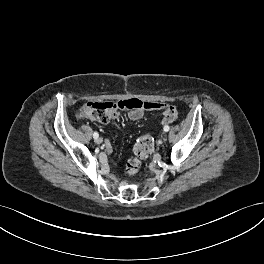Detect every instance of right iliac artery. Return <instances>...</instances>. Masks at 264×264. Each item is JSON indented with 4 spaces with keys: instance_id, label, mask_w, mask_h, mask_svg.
Listing matches in <instances>:
<instances>
[{
    "instance_id": "1",
    "label": "right iliac artery",
    "mask_w": 264,
    "mask_h": 264,
    "mask_svg": "<svg viewBox=\"0 0 264 264\" xmlns=\"http://www.w3.org/2000/svg\"><path fill=\"white\" fill-rule=\"evenodd\" d=\"M98 136H99V135H98L97 132H94V133H93V137H94L95 139L98 138Z\"/></svg>"
}]
</instances>
